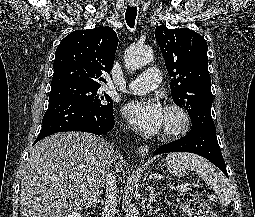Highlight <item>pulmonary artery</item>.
<instances>
[{"label":"pulmonary artery","instance_id":"obj_1","mask_svg":"<svg viewBox=\"0 0 255 217\" xmlns=\"http://www.w3.org/2000/svg\"><path fill=\"white\" fill-rule=\"evenodd\" d=\"M159 83L160 71L158 68L151 67L130 81L122 90L131 94H145L155 89Z\"/></svg>","mask_w":255,"mask_h":217}]
</instances>
